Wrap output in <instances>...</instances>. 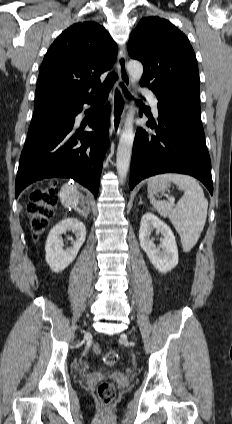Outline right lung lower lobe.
Listing matches in <instances>:
<instances>
[{"label":"right lung lower lobe","mask_w":232,"mask_h":424,"mask_svg":"<svg viewBox=\"0 0 232 424\" xmlns=\"http://www.w3.org/2000/svg\"><path fill=\"white\" fill-rule=\"evenodd\" d=\"M91 102L52 104L35 111L20 157L16 197L29 184L50 177L74 179L97 197L108 147L110 106L106 104L89 122L95 132H79L75 117L84 103Z\"/></svg>","instance_id":"1"}]
</instances>
